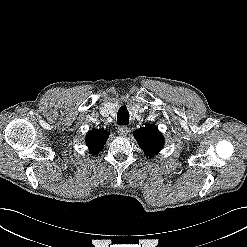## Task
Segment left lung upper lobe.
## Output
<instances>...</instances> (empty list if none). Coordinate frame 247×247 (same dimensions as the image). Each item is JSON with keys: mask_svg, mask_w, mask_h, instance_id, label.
Instances as JSON below:
<instances>
[{"mask_svg": "<svg viewBox=\"0 0 247 247\" xmlns=\"http://www.w3.org/2000/svg\"><path fill=\"white\" fill-rule=\"evenodd\" d=\"M134 137L141 149L149 157L158 154L164 145V137L155 125H147L137 129L134 132Z\"/></svg>", "mask_w": 247, "mask_h": 247, "instance_id": "1", "label": "left lung upper lobe"}]
</instances>
